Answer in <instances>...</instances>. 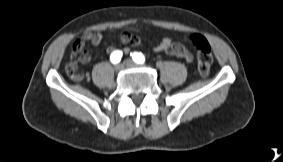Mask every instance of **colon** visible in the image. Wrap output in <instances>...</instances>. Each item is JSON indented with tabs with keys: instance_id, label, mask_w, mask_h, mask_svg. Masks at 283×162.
<instances>
[{
	"instance_id": "1",
	"label": "colon",
	"mask_w": 283,
	"mask_h": 162,
	"mask_svg": "<svg viewBox=\"0 0 283 162\" xmlns=\"http://www.w3.org/2000/svg\"><path fill=\"white\" fill-rule=\"evenodd\" d=\"M188 40L193 44L197 50V68L201 75L207 76L210 73L213 61L211 46L209 42L199 34H191ZM70 76L77 81L87 79V74L78 70L70 71Z\"/></svg>"
}]
</instances>
